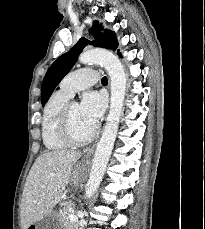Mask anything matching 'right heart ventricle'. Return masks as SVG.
<instances>
[{
  "mask_svg": "<svg viewBox=\"0 0 205 229\" xmlns=\"http://www.w3.org/2000/svg\"><path fill=\"white\" fill-rule=\"evenodd\" d=\"M70 97L60 90L55 91L47 100L42 117V139L45 147L50 151H59L69 145L58 135V119L61 109Z\"/></svg>",
  "mask_w": 205,
  "mask_h": 229,
  "instance_id": "right-heart-ventricle-1",
  "label": "right heart ventricle"
}]
</instances>
